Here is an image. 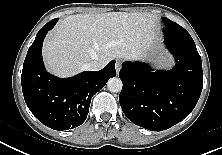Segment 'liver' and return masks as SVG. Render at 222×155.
Returning <instances> with one entry per match:
<instances>
[{
    "instance_id": "1",
    "label": "liver",
    "mask_w": 222,
    "mask_h": 155,
    "mask_svg": "<svg viewBox=\"0 0 222 155\" xmlns=\"http://www.w3.org/2000/svg\"><path fill=\"white\" fill-rule=\"evenodd\" d=\"M157 42V19L150 13L76 14L59 21L48 35L43 58L49 72L69 77L91 61L105 66L113 58L145 59Z\"/></svg>"
}]
</instances>
